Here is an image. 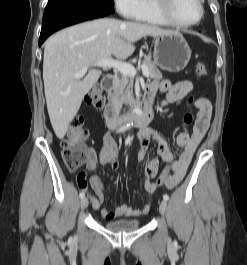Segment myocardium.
<instances>
[{"mask_svg":"<svg viewBox=\"0 0 247 265\" xmlns=\"http://www.w3.org/2000/svg\"><path fill=\"white\" fill-rule=\"evenodd\" d=\"M173 2L174 0H155L157 11L170 25L178 28H190L198 25L203 20L205 15L203 0H197L200 7V15L196 21L191 23H183L174 16L172 11Z\"/></svg>","mask_w":247,"mask_h":265,"instance_id":"1","label":"myocardium"}]
</instances>
